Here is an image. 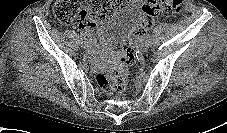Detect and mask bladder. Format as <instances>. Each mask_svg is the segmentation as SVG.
<instances>
[{
	"instance_id": "obj_1",
	"label": "bladder",
	"mask_w": 227,
	"mask_h": 133,
	"mask_svg": "<svg viewBox=\"0 0 227 133\" xmlns=\"http://www.w3.org/2000/svg\"><path fill=\"white\" fill-rule=\"evenodd\" d=\"M139 14V8L134 5H131L122 11L103 30V41L108 45L121 42L131 33L139 19Z\"/></svg>"
}]
</instances>
